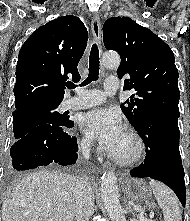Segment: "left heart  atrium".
<instances>
[{
    "instance_id": "left-heart-atrium-1",
    "label": "left heart atrium",
    "mask_w": 190,
    "mask_h": 221,
    "mask_svg": "<svg viewBox=\"0 0 190 221\" xmlns=\"http://www.w3.org/2000/svg\"><path fill=\"white\" fill-rule=\"evenodd\" d=\"M82 129L109 150L124 132L119 114L106 108H97L81 118Z\"/></svg>"
}]
</instances>
